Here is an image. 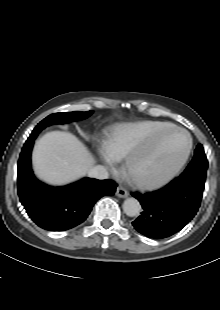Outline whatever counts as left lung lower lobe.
<instances>
[{"label": "left lung lower lobe", "instance_id": "1", "mask_svg": "<svg viewBox=\"0 0 220 310\" xmlns=\"http://www.w3.org/2000/svg\"><path fill=\"white\" fill-rule=\"evenodd\" d=\"M205 179L177 177L164 188L146 193H134L143 208L132 222L134 228L153 239L169 237L180 231L197 213Z\"/></svg>", "mask_w": 220, "mask_h": 310}]
</instances>
